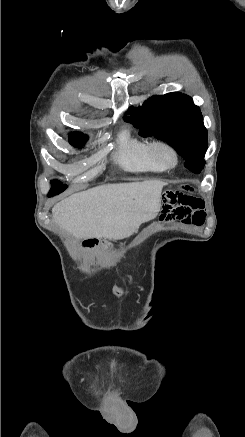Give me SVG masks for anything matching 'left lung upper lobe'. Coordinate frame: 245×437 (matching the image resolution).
<instances>
[{
  "mask_svg": "<svg viewBox=\"0 0 245 437\" xmlns=\"http://www.w3.org/2000/svg\"><path fill=\"white\" fill-rule=\"evenodd\" d=\"M126 113L131 116H125V120L140 128L141 136H154L168 143L186 160L185 167L195 173L201 171L207 131L200 108L191 97L179 92L156 95Z\"/></svg>",
  "mask_w": 245,
  "mask_h": 437,
  "instance_id": "5c2ea615",
  "label": "left lung upper lobe"
}]
</instances>
